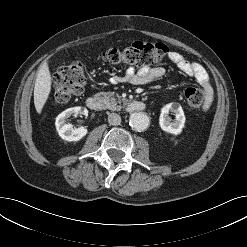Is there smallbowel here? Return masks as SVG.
I'll list each match as a JSON object with an SVG mask.
<instances>
[{
	"instance_id": "1",
	"label": "small bowel",
	"mask_w": 247,
	"mask_h": 247,
	"mask_svg": "<svg viewBox=\"0 0 247 247\" xmlns=\"http://www.w3.org/2000/svg\"><path fill=\"white\" fill-rule=\"evenodd\" d=\"M168 57L183 74L193 78L200 86L204 95L202 110L207 111L213 101V88L205 68L199 63L189 61L181 53L176 51H171ZM164 74L165 70L162 67H143L140 69L129 67L123 77H113L110 79V83L119 84L128 82L135 85H142L160 79Z\"/></svg>"
}]
</instances>
